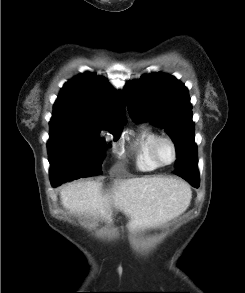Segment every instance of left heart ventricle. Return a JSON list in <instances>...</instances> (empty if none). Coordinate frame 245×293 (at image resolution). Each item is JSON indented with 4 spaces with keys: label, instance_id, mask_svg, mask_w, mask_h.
<instances>
[{
    "label": "left heart ventricle",
    "instance_id": "b2bd125f",
    "mask_svg": "<svg viewBox=\"0 0 245 293\" xmlns=\"http://www.w3.org/2000/svg\"><path fill=\"white\" fill-rule=\"evenodd\" d=\"M159 155L164 162L171 161L173 156L171 146L166 142L162 143L159 147Z\"/></svg>",
    "mask_w": 245,
    "mask_h": 293
}]
</instances>
